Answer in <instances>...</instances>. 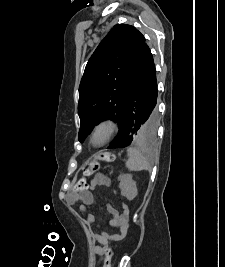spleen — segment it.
<instances>
[{"mask_svg":"<svg viewBox=\"0 0 225 267\" xmlns=\"http://www.w3.org/2000/svg\"><path fill=\"white\" fill-rule=\"evenodd\" d=\"M126 167L130 171L150 170L151 166L143 154L135 149H127Z\"/></svg>","mask_w":225,"mask_h":267,"instance_id":"spleen-1","label":"spleen"}]
</instances>
